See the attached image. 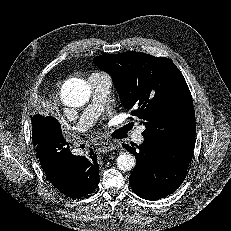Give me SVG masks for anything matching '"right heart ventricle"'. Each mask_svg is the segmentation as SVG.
I'll return each instance as SVG.
<instances>
[{"label":"right heart ventricle","instance_id":"obj_1","mask_svg":"<svg viewBox=\"0 0 231 231\" xmlns=\"http://www.w3.org/2000/svg\"><path fill=\"white\" fill-rule=\"evenodd\" d=\"M92 75H101V76H107L106 74H104V73H94V74H92Z\"/></svg>","mask_w":231,"mask_h":231}]
</instances>
